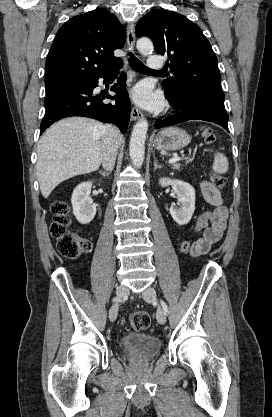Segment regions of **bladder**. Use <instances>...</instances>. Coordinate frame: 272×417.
<instances>
[{"label":"bladder","instance_id":"obj_1","mask_svg":"<svg viewBox=\"0 0 272 417\" xmlns=\"http://www.w3.org/2000/svg\"><path fill=\"white\" fill-rule=\"evenodd\" d=\"M119 346L126 356L135 360L146 361L159 353L161 342L152 335L129 333L121 338Z\"/></svg>","mask_w":272,"mask_h":417}]
</instances>
